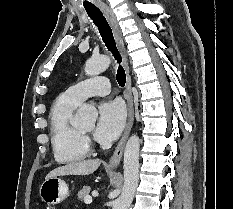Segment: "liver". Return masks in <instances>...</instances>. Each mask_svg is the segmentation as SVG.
Here are the masks:
<instances>
[{
	"label": "liver",
	"mask_w": 233,
	"mask_h": 209,
	"mask_svg": "<svg viewBox=\"0 0 233 209\" xmlns=\"http://www.w3.org/2000/svg\"><path fill=\"white\" fill-rule=\"evenodd\" d=\"M100 164L101 161L99 159L72 162L53 169L45 179L64 175H89L96 171Z\"/></svg>",
	"instance_id": "liver-1"
}]
</instances>
